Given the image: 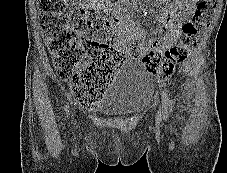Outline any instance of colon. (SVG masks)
<instances>
[{"mask_svg":"<svg viewBox=\"0 0 227 173\" xmlns=\"http://www.w3.org/2000/svg\"><path fill=\"white\" fill-rule=\"evenodd\" d=\"M73 4L74 0H38L40 24L58 76L69 80L80 104L95 106L123 60L110 44L118 20L111 14L96 15L89 8ZM215 8L216 0H199L193 19L183 24L177 43L165 49L153 43L145 50L141 42L132 41L129 52L141 57L147 70L160 80H168L190 56L198 34L211 23Z\"/></svg>","mask_w":227,"mask_h":173,"instance_id":"obj_1","label":"colon"}]
</instances>
